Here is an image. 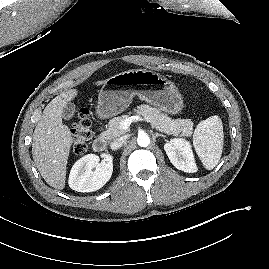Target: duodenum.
<instances>
[{
	"label": "duodenum",
	"mask_w": 269,
	"mask_h": 269,
	"mask_svg": "<svg viewBox=\"0 0 269 269\" xmlns=\"http://www.w3.org/2000/svg\"><path fill=\"white\" fill-rule=\"evenodd\" d=\"M107 146V139L104 136H99L93 142V149L96 152H102Z\"/></svg>",
	"instance_id": "1"
}]
</instances>
